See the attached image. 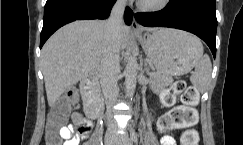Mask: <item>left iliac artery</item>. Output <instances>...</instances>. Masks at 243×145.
Wrapping results in <instances>:
<instances>
[{
  "label": "left iliac artery",
  "mask_w": 243,
  "mask_h": 145,
  "mask_svg": "<svg viewBox=\"0 0 243 145\" xmlns=\"http://www.w3.org/2000/svg\"><path fill=\"white\" fill-rule=\"evenodd\" d=\"M130 136H131V139L137 143V135H136V132L134 130V128L131 127V130H130Z\"/></svg>",
  "instance_id": "1"
}]
</instances>
